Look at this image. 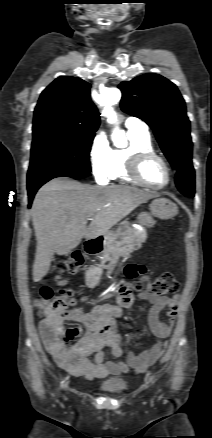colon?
I'll return each mask as SVG.
<instances>
[{"label":"colon","mask_w":212,"mask_h":438,"mask_svg":"<svg viewBox=\"0 0 212 438\" xmlns=\"http://www.w3.org/2000/svg\"><path fill=\"white\" fill-rule=\"evenodd\" d=\"M61 264L67 273H76L83 264V255L79 251L71 252L66 256ZM139 287V286H138ZM179 288V284L173 274L163 273L154 282L148 285V291L152 295L167 296L175 293ZM61 297H54L53 290L50 287H43L40 291L41 306L40 314L44 316V320L51 322L58 331L63 332L66 341L72 340L78 333L77 329L71 328L62 329L61 312L68 305H74L72 291L68 288L60 290Z\"/></svg>","instance_id":"5ec220e1"}]
</instances>
